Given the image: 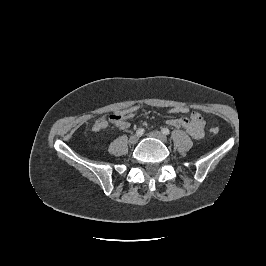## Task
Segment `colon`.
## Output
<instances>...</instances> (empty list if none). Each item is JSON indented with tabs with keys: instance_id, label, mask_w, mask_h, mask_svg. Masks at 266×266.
I'll list each match as a JSON object with an SVG mask.
<instances>
[{
	"instance_id": "obj_1",
	"label": "colon",
	"mask_w": 266,
	"mask_h": 266,
	"mask_svg": "<svg viewBox=\"0 0 266 266\" xmlns=\"http://www.w3.org/2000/svg\"><path fill=\"white\" fill-rule=\"evenodd\" d=\"M137 110H138V107H131V108L124 110V111L114 112V113L110 114L109 120L111 123L117 125L122 121H125V120L132 118ZM168 113L185 115V114L189 113V108L186 106H181V105L174 106L168 110ZM210 132L212 134H217L219 132V128L218 127H211Z\"/></svg>"
}]
</instances>
